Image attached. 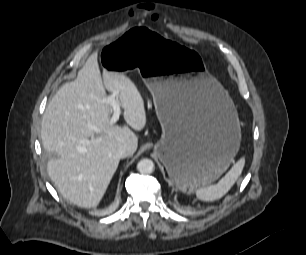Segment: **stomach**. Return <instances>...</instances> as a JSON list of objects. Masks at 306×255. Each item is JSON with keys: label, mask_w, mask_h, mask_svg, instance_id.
Listing matches in <instances>:
<instances>
[{"label": "stomach", "mask_w": 306, "mask_h": 255, "mask_svg": "<svg viewBox=\"0 0 306 255\" xmlns=\"http://www.w3.org/2000/svg\"><path fill=\"white\" fill-rule=\"evenodd\" d=\"M100 59L104 70L141 75L162 127L154 151L180 191L205 187L228 168L241 142L238 114L195 50L137 26L107 43Z\"/></svg>", "instance_id": "0dacf381"}]
</instances>
